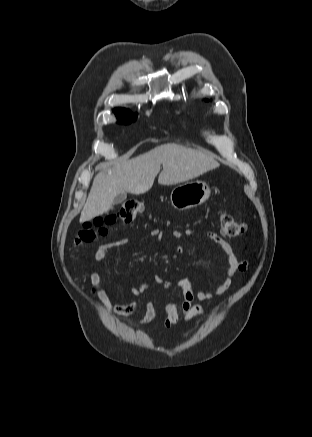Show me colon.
<instances>
[{
  "label": "colon",
  "instance_id": "1",
  "mask_svg": "<svg viewBox=\"0 0 312 437\" xmlns=\"http://www.w3.org/2000/svg\"><path fill=\"white\" fill-rule=\"evenodd\" d=\"M144 211V203L136 199H128L122 202L117 215L107 218H97L93 223L85 225L75 239L79 245L93 241L97 236L105 235L109 228L114 225L129 224L135 221ZM222 234L229 238L242 235L246 229L245 222L238 221L228 214L220 217Z\"/></svg>",
  "mask_w": 312,
  "mask_h": 437
}]
</instances>
